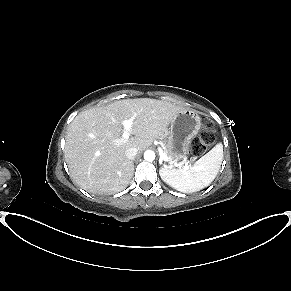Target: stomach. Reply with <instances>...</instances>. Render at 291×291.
Segmentation results:
<instances>
[{
	"instance_id": "1",
	"label": "stomach",
	"mask_w": 291,
	"mask_h": 291,
	"mask_svg": "<svg viewBox=\"0 0 291 291\" xmlns=\"http://www.w3.org/2000/svg\"><path fill=\"white\" fill-rule=\"evenodd\" d=\"M201 126V118L196 111L179 113L170 123L167 155L173 163L180 162L189 153V144Z\"/></svg>"
}]
</instances>
